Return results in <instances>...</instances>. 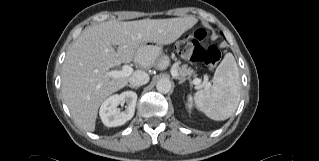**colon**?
I'll use <instances>...</instances> for the list:
<instances>
[{
  "instance_id": "colon-1",
  "label": "colon",
  "mask_w": 319,
  "mask_h": 161,
  "mask_svg": "<svg viewBox=\"0 0 319 161\" xmlns=\"http://www.w3.org/2000/svg\"><path fill=\"white\" fill-rule=\"evenodd\" d=\"M205 37L206 31L203 28H197L190 35L178 42V54L193 63H205L215 66L221 59V51L215 44L204 48L200 42Z\"/></svg>"
}]
</instances>
